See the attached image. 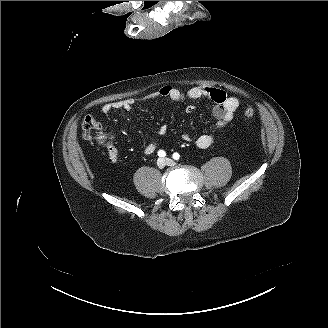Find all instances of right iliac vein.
Segmentation results:
<instances>
[{"instance_id": "obj_1", "label": "right iliac vein", "mask_w": 328, "mask_h": 328, "mask_svg": "<svg viewBox=\"0 0 328 328\" xmlns=\"http://www.w3.org/2000/svg\"><path fill=\"white\" fill-rule=\"evenodd\" d=\"M157 165L159 166V168H164V166L166 165V162L164 161V159H158L157 161Z\"/></svg>"}]
</instances>
